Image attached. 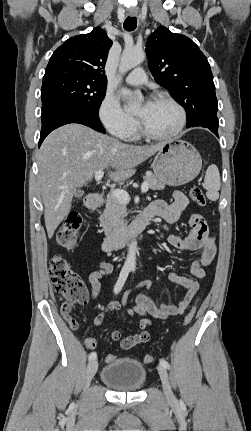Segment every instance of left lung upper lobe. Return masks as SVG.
<instances>
[{
  "label": "left lung upper lobe",
  "mask_w": 251,
  "mask_h": 431,
  "mask_svg": "<svg viewBox=\"0 0 251 431\" xmlns=\"http://www.w3.org/2000/svg\"><path fill=\"white\" fill-rule=\"evenodd\" d=\"M148 66L155 81L186 110L187 127L218 125V103L207 58L188 37L159 27L146 43Z\"/></svg>",
  "instance_id": "1"
}]
</instances>
